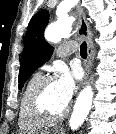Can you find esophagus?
Segmentation results:
<instances>
[{
  "mask_svg": "<svg viewBox=\"0 0 116 134\" xmlns=\"http://www.w3.org/2000/svg\"><path fill=\"white\" fill-rule=\"evenodd\" d=\"M76 15L78 19V34L83 37L87 42V59L84 61V69L85 75L83 78V82L86 81L91 65V61L93 58V41H92V33L90 31L89 25L86 21L85 14L80 5L76 7Z\"/></svg>",
  "mask_w": 116,
  "mask_h": 134,
  "instance_id": "esophagus-1",
  "label": "esophagus"
}]
</instances>
